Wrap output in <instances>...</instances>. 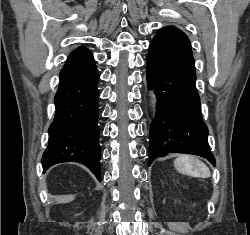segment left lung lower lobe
Segmentation results:
<instances>
[{"instance_id": "obj_1", "label": "left lung lower lobe", "mask_w": 250, "mask_h": 235, "mask_svg": "<svg viewBox=\"0 0 250 235\" xmlns=\"http://www.w3.org/2000/svg\"><path fill=\"white\" fill-rule=\"evenodd\" d=\"M146 79L157 96L149 131V165L157 157L185 153L204 157L215 166L200 113L191 44L182 31L157 32L149 46Z\"/></svg>"}]
</instances>
